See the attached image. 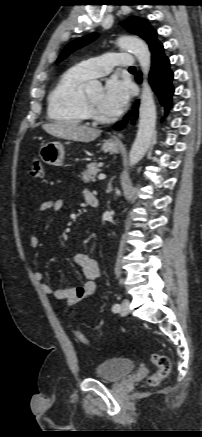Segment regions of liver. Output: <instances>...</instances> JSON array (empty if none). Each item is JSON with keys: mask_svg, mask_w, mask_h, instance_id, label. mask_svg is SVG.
I'll return each mask as SVG.
<instances>
[{"mask_svg": "<svg viewBox=\"0 0 202 437\" xmlns=\"http://www.w3.org/2000/svg\"><path fill=\"white\" fill-rule=\"evenodd\" d=\"M42 128L54 137L79 142H91L101 134L99 129L68 122L46 123L42 125Z\"/></svg>", "mask_w": 202, "mask_h": 437, "instance_id": "liver-1", "label": "liver"}]
</instances>
